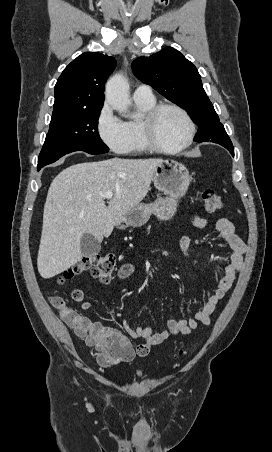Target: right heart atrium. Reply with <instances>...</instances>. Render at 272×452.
Instances as JSON below:
<instances>
[{"label": "right heart atrium", "mask_w": 272, "mask_h": 452, "mask_svg": "<svg viewBox=\"0 0 272 452\" xmlns=\"http://www.w3.org/2000/svg\"><path fill=\"white\" fill-rule=\"evenodd\" d=\"M96 131L110 150L116 153L124 151L127 143L125 123L113 113L108 103L102 106L97 115Z\"/></svg>", "instance_id": "1"}]
</instances>
